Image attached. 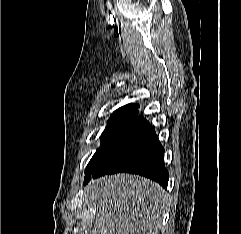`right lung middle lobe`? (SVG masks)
I'll list each match as a JSON object with an SVG mask.
<instances>
[{"label": "right lung middle lobe", "mask_w": 241, "mask_h": 234, "mask_svg": "<svg viewBox=\"0 0 241 234\" xmlns=\"http://www.w3.org/2000/svg\"><path fill=\"white\" fill-rule=\"evenodd\" d=\"M137 108L138 106L126 105L116 110L111 115L106 129L101 135V142L103 143L110 136V134H112Z\"/></svg>", "instance_id": "dd1d6c3e"}]
</instances>
